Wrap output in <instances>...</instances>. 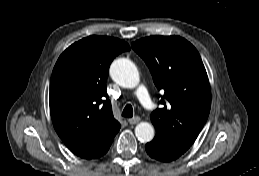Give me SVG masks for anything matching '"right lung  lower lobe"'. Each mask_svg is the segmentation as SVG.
<instances>
[{
    "label": "right lung lower lobe",
    "mask_w": 259,
    "mask_h": 176,
    "mask_svg": "<svg viewBox=\"0 0 259 176\" xmlns=\"http://www.w3.org/2000/svg\"><path fill=\"white\" fill-rule=\"evenodd\" d=\"M109 147H110V146H108L107 148H105V149L99 154V156H97L96 158H98V157L104 155V154L108 151Z\"/></svg>",
    "instance_id": "obj_1"
}]
</instances>
